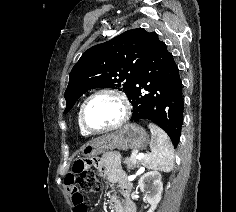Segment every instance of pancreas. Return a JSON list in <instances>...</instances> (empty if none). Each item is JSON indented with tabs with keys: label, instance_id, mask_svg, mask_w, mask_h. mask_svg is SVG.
I'll return each instance as SVG.
<instances>
[{
	"label": "pancreas",
	"instance_id": "cf45deb5",
	"mask_svg": "<svg viewBox=\"0 0 236 212\" xmlns=\"http://www.w3.org/2000/svg\"><path fill=\"white\" fill-rule=\"evenodd\" d=\"M124 163L126 164V167L129 171V170H133L135 168H139L142 163V160L134 159L132 157H126L124 159Z\"/></svg>",
	"mask_w": 236,
	"mask_h": 212
}]
</instances>
